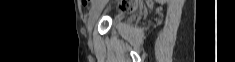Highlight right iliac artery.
<instances>
[{
	"label": "right iliac artery",
	"mask_w": 235,
	"mask_h": 62,
	"mask_svg": "<svg viewBox=\"0 0 235 62\" xmlns=\"http://www.w3.org/2000/svg\"><path fill=\"white\" fill-rule=\"evenodd\" d=\"M96 4H97V1L92 3L91 10L94 8V6H95Z\"/></svg>",
	"instance_id": "obj_1"
}]
</instances>
